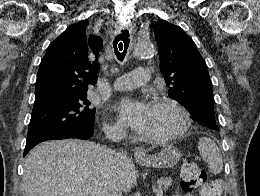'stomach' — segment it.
<instances>
[{
    "mask_svg": "<svg viewBox=\"0 0 260 196\" xmlns=\"http://www.w3.org/2000/svg\"><path fill=\"white\" fill-rule=\"evenodd\" d=\"M181 156L179 148L170 144V146H163V150L154 156H148L147 160H137V162L146 168H173L180 162Z\"/></svg>",
    "mask_w": 260,
    "mask_h": 196,
    "instance_id": "obj_1",
    "label": "stomach"
}]
</instances>
